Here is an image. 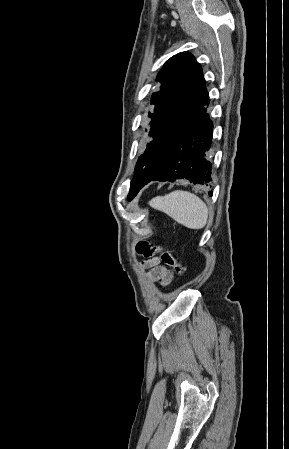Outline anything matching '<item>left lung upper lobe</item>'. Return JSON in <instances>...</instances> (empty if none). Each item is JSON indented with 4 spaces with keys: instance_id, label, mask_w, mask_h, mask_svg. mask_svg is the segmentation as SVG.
Segmentation results:
<instances>
[{
    "instance_id": "left-lung-upper-lobe-1",
    "label": "left lung upper lobe",
    "mask_w": 289,
    "mask_h": 449,
    "mask_svg": "<svg viewBox=\"0 0 289 449\" xmlns=\"http://www.w3.org/2000/svg\"><path fill=\"white\" fill-rule=\"evenodd\" d=\"M157 81L162 83L161 89L153 93L151 103L155 108L148 115L152 119L149 136L153 139L137 161L128 198L142 182L161 171L165 160V140L190 118L206 92L201 66L187 52L167 60Z\"/></svg>"
}]
</instances>
